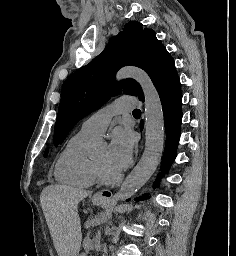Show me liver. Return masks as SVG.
<instances>
[{
  "label": "liver",
  "mask_w": 236,
  "mask_h": 256,
  "mask_svg": "<svg viewBox=\"0 0 236 256\" xmlns=\"http://www.w3.org/2000/svg\"><path fill=\"white\" fill-rule=\"evenodd\" d=\"M91 192L70 186H47L41 206L58 256H78L82 242L78 204Z\"/></svg>",
  "instance_id": "6515ba94"
}]
</instances>
